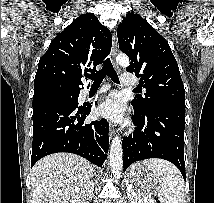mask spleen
<instances>
[{"label": "spleen", "instance_id": "spleen-1", "mask_svg": "<svg viewBox=\"0 0 214 203\" xmlns=\"http://www.w3.org/2000/svg\"><path fill=\"white\" fill-rule=\"evenodd\" d=\"M143 165L156 173L160 179L158 198L160 203H184V182L179 170L160 159H148Z\"/></svg>", "mask_w": 214, "mask_h": 203}]
</instances>
